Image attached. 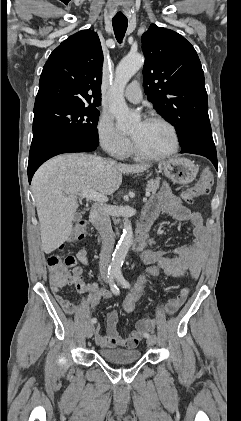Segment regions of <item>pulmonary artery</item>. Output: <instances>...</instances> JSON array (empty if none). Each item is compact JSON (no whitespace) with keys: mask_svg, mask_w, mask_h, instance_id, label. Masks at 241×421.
I'll list each match as a JSON object with an SVG mask.
<instances>
[{"mask_svg":"<svg viewBox=\"0 0 241 421\" xmlns=\"http://www.w3.org/2000/svg\"><path fill=\"white\" fill-rule=\"evenodd\" d=\"M124 96L132 103H139L142 100V91L137 81L130 83L125 92Z\"/></svg>","mask_w":241,"mask_h":421,"instance_id":"e3ab8cb5","label":"pulmonary artery"}]
</instances>
